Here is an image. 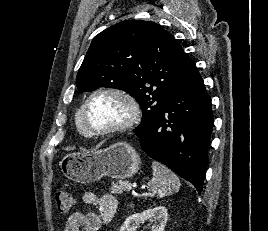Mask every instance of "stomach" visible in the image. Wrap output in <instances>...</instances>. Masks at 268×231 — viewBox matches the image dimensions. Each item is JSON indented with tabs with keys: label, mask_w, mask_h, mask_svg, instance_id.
I'll use <instances>...</instances> for the list:
<instances>
[{
	"label": "stomach",
	"mask_w": 268,
	"mask_h": 231,
	"mask_svg": "<svg viewBox=\"0 0 268 231\" xmlns=\"http://www.w3.org/2000/svg\"><path fill=\"white\" fill-rule=\"evenodd\" d=\"M140 163L134 148L118 142L100 150L66 154L59 166L65 177L88 184L104 176L121 180L130 178L138 172Z\"/></svg>",
	"instance_id": "0dacf381"
}]
</instances>
